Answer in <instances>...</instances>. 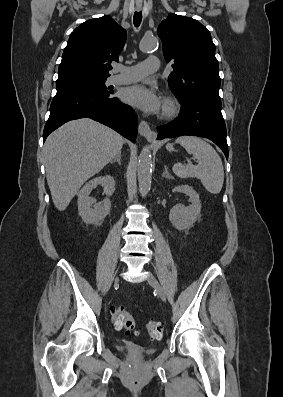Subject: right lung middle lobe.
<instances>
[{
	"label": "right lung middle lobe",
	"mask_w": 283,
	"mask_h": 397,
	"mask_svg": "<svg viewBox=\"0 0 283 397\" xmlns=\"http://www.w3.org/2000/svg\"><path fill=\"white\" fill-rule=\"evenodd\" d=\"M107 78L98 77H76L64 80H57V93L73 89L94 90L107 93L105 81Z\"/></svg>",
	"instance_id": "obj_1"
}]
</instances>
